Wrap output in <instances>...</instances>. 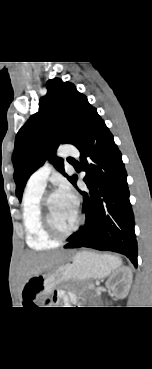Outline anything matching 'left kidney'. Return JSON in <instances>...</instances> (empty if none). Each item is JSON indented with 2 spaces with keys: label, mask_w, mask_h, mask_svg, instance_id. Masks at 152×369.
<instances>
[{
  "label": "left kidney",
  "mask_w": 152,
  "mask_h": 369,
  "mask_svg": "<svg viewBox=\"0 0 152 369\" xmlns=\"http://www.w3.org/2000/svg\"><path fill=\"white\" fill-rule=\"evenodd\" d=\"M132 279L133 274L131 269L123 266L108 278L106 281V287L118 298H124L130 290ZM119 284H121V288H118Z\"/></svg>",
  "instance_id": "1"
}]
</instances>
